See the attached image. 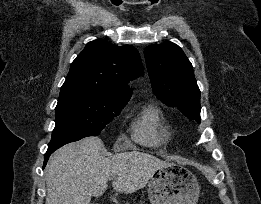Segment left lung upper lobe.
Segmentation results:
<instances>
[{
	"label": "left lung upper lobe",
	"mask_w": 261,
	"mask_h": 204,
	"mask_svg": "<svg viewBox=\"0 0 261 204\" xmlns=\"http://www.w3.org/2000/svg\"><path fill=\"white\" fill-rule=\"evenodd\" d=\"M144 55L157 98L200 123V90L192 64L182 49L172 42H166L147 46Z\"/></svg>",
	"instance_id": "obj_1"
}]
</instances>
